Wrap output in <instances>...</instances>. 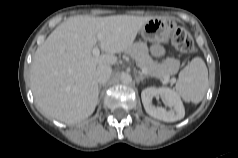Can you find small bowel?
Returning a JSON list of instances; mask_svg holds the SVG:
<instances>
[{
	"label": "small bowel",
	"instance_id": "small-bowel-1",
	"mask_svg": "<svg viewBox=\"0 0 238 158\" xmlns=\"http://www.w3.org/2000/svg\"><path fill=\"white\" fill-rule=\"evenodd\" d=\"M153 52L155 55L160 56L162 54V48L161 47H155L153 49Z\"/></svg>",
	"mask_w": 238,
	"mask_h": 158
}]
</instances>
